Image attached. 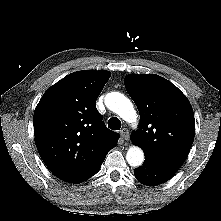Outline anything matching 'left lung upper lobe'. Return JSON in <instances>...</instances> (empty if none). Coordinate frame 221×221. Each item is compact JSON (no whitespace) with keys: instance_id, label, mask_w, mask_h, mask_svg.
<instances>
[{"instance_id":"5c2ea615","label":"left lung upper lobe","mask_w":221,"mask_h":221,"mask_svg":"<svg viewBox=\"0 0 221 221\" xmlns=\"http://www.w3.org/2000/svg\"><path fill=\"white\" fill-rule=\"evenodd\" d=\"M125 87L140 113V125L131 135L145 160L177 171L191 149L194 113L186 96L171 82L154 74L126 76Z\"/></svg>"}]
</instances>
